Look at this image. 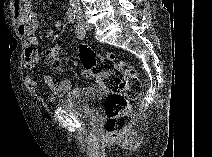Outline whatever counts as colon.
<instances>
[{"label": "colon", "instance_id": "obj_1", "mask_svg": "<svg viewBox=\"0 0 212 157\" xmlns=\"http://www.w3.org/2000/svg\"><path fill=\"white\" fill-rule=\"evenodd\" d=\"M75 51L82 64L84 74L108 93L106 103V133L117 138L129 126L132 120L130 100L141 93V82L136 70L125 60L112 53L97 54L87 45L80 44ZM52 68L61 66V50L57 47L47 51Z\"/></svg>", "mask_w": 212, "mask_h": 157}]
</instances>
